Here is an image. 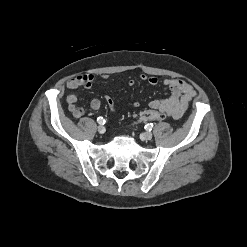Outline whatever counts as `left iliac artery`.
<instances>
[{
    "label": "left iliac artery",
    "mask_w": 247,
    "mask_h": 247,
    "mask_svg": "<svg viewBox=\"0 0 247 247\" xmlns=\"http://www.w3.org/2000/svg\"><path fill=\"white\" fill-rule=\"evenodd\" d=\"M145 128H146L147 130L151 131L152 128H153V124H152V123L147 124V125H145Z\"/></svg>",
    "instance_id": "1"
}]
</instances>
